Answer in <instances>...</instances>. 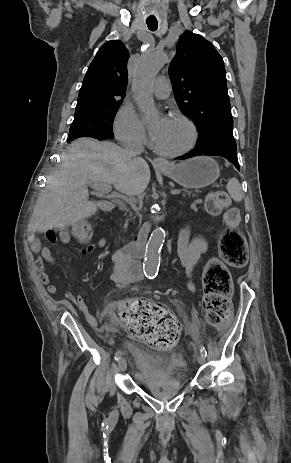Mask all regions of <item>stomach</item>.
I'll use <instances>...</instances> for the list:
<instances>
[{
  "label": "stomach",
  "mask_w": 291,
  "mask_h": 463,
  "mask_svg": "<svg viewBox=\"0 0 291 463\" xmlns=\"http://www.w3.org/2000/svg\"><path fill=\"white\" fill-rule=\"evenodd\" d=\"M160 170L179 185H187L190 189L204 188L220 176L218 164L208 156L194 157L175 165L169 164Z\"/></svg>",
  "instance_id": "1"
}]
</instances>
